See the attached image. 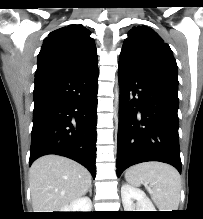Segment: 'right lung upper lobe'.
Masks as SVG:
<instances>
[{
  "label": "right lung upper lobe",
  "mask_w": 203,
  "mask_h": 219,
  "mask_svg": "<svg viewBox=\"0 0 203 219\" xmlns=\"http://www.w3.org/2000/svg\"><path fill=\"white\" fill-rule=\"evenodd\" d=\"M82 25H69L49 34L38 55L35 76L89 69L98 64L94 40Z\"/></svg>",
  "instance_id": "right-lung-upper-lobe-1"
}]
</instances>
